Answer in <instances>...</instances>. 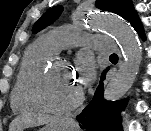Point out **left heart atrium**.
Listing matches in <instances>:
<instances>
[{
    "mask_svg": "<svg viewBox=\"0 0 151 131\" xmlns=\"http://www.w3.org/2000/svg\"><path fill=\"white\" fill-rule=\"evenodd\" d=\"M76 75L80 85H85L93 80L94 69L92 62L88 58L82 57L79 59Z\"/></svg>",
    "mask_w": 151,
    "mask_h": 131,
    "instance_id": "left-heart-atrium-1",
    "label": "left heart atrium"
}]
</instances>
